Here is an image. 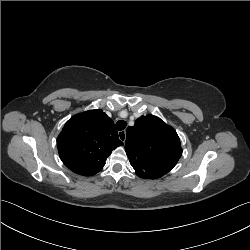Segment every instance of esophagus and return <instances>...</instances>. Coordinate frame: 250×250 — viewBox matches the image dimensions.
<instances>
[{
  "mask_svg": "<svg viewBox=\"0 0 250 250\" xmlns=\"http://www.w3.org/2000/svg\"><path fill=\"white\" fill-rule=\"evenodd\" d=\"M118 136H119V139L121 141L125 142V140H126V131L125 130L119 131Z\"/></svg>",
  "mask_w": 250,
  "mask_h": 250,
  "instance_id": "esophagus-1",
  "label": "esophagus"
}]
</instances>
